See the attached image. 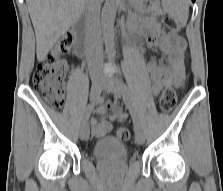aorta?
Listing matches in <instances>:
<instances>
[{
	"mask_svg": "<svg viewBox=\"0 0 223 191\" xmlns=\"http://www.w3.org/2000/svg\"><path fill=\"white\" fill-rule=\"evenodd\" d=\"M117 11V0H106L102 9L101 27L106 51L110 59L115 56L114 23Z\"/></svg>",
	"mask_w": 223,
	"mask_h": 191,
	"instance_id": "1",
	"label": "aorta"
}]
</instances>
